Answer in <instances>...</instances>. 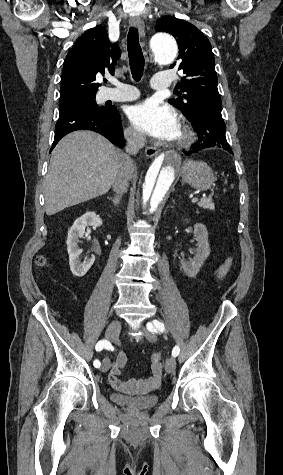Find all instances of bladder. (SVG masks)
<instances>
[{"label":"bladder","mask_w":283,"mask_h":475,"mask_svg":"<svg viewBox=\"0 0 283 475\" xmlns=\"http://www.w3.org/2000/svg\"><path fill=\"white\" fill-rule=\"evenodd\" d=\"M160 394L142 395L140 397H126L123 394L114 392L113 401L122 404L133 410L145 411L159 403Z\"/></svg>","instance_id":"bladder-1"}]
</instances>
